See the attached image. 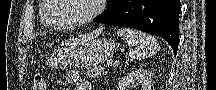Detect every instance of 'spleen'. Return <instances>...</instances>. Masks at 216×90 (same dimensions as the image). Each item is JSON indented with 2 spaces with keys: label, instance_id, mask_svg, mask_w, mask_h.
I'll list each match as a JSON object with an SVG mask.
<instances>
[{
  "label": "spleen",
  "instance_id": "spleen-1",
  "mask_svg": "<svg viewBox=\"0 0 216 90\" xmlns=\"http://www.w3.org/2000/svg\"><path fill=\"white\" fill-rule=\"evenodd\" d=\"M117 36L127 42L130 46V54L135 60H145V58L155 56L160 48L153 36L139 32V30H133V28H119Z\"/></svg>",
  "mask_w": 216,
  "mask_h": 90
}]
</instances>
